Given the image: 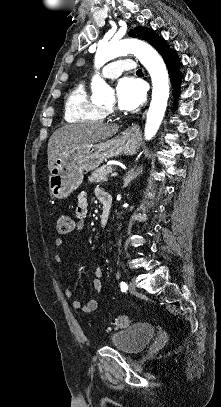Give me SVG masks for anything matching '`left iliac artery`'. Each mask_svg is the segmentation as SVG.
Returning <instances> with one entry per match:
<instances>
[{"mask_svg": "<svg viewBox=\"0 0 221 407\" xmlns=\"http://www.w3.org/2000/svg\"><path fill=\"white\" fill-rule=\"evenodd\" d=\"M120 288H121V291H125V290L128 289V286H127V284L125 282H121Z\"/></svg>", "mask_w": 221, "mask_h": 407, "instance_id": "1", "label": "left iliac artery"}]
</instances>
